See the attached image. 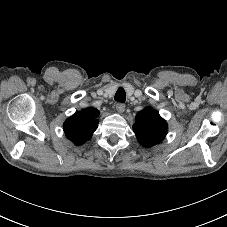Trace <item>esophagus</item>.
Here are the masks:
<instances>
[{"label":"esophagus","instance_id":"1","mask_svg":"<svg viewBox=\"0 0 227 227\" xmlns=\"http://www.w3.org/2000/svg\"><path fill=\"white\" fill-rule=\"evenodd\" d=\"M116 110H117L119 113H123L124 110H125V104H124V103H117V104H116Z\"/></svg>","mask_w":227,"mask_h":227}]
</instances>
